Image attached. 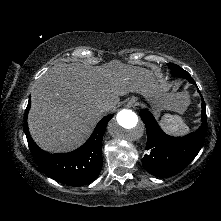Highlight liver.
<instances>
[{
  "mask_svg": "<svg viewBox=\"0 0 221 221\" xmlns=\"http://www.w3.org/2000/svg\"><path fill=\"white\" fill-rule=\"evenodd\" d=\"M138 93L148 100H163L164 109L183 113L177 95L163 94L152 71L112 60L104 66L57 63L36 82L28 116L34 141L49 152L80 146L91 134L106 104L110 110L120 96ZM109 110V111H110Z\"/></svg>",
  "mask_w": 221,
  "mask_h": 221,
  "instance_id": "obj_1",
  "label": "liver"
}]
</instances>
